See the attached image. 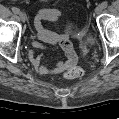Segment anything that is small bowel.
I'll return each instance as SVG.
<instances>
[{
  "instance_id": "c3829d8e",
  "label": "small bowel",
  "mask_w": 119,
  "mask_h": 119,
  "mask_svg": "<svg viewBox=\"0 0 119 119\" xmlns=\"http://www.w3.org/2000/svg\"><path fill=\"white\" fill-rule=\"evenodd\" d=\"M61 18L62 12L55 7L42 8L35 15L34 30L39 41L33 42L35 50L29 53V60L40 75L59 74L77 64V56L72 49L67 35L51 32L43 26V21H50L59 28ZM46 45L59 46L66 55V58L57 62L53 68H48L42 64L41 55L37 52V50L47 49Z\"/></svg>"
}]
</instances>
